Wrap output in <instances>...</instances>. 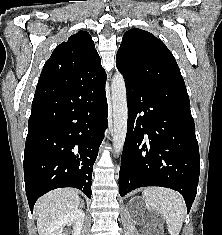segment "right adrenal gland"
Listing matches in <instances>:
<instances>
[{
    "instance_id": "right-adrenal-gland-1",
    "label": "right adrenal gland",
    "mask_w": 222,
    "mask_h": 235,
    "mask_svg": "<svg viewBox=\"0 0 222 235\" xmlns=\"http://www.w3.org/2000/svg\"><path fill=\"white\" fill-rule=\"evenodd\" d=\"M80 207H82V208L84 207V202L83 201L81 202Z\"/></svg>"
}]
</instances>
